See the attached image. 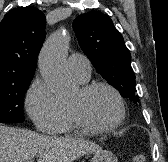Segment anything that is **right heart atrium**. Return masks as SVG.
Instances as JSON below:
<instances>
[{
  "mask_svg": "<svg viewBox=\"0 0 168 162\" xmlns=\"http://www.w3.org/2000/svg\"><path fill=\"white\" fill-rule=\"evenodd\" d=\"M25 106L40 132H56L67 118L65 105L41 78H36L30 85L25 96Z\"/></svg>",
  "mask_w": 168,
  "mask_h": 162,
  "instance_id": "d8ad5b80",
  "label": "right heart atrium"
}]
</instances>
